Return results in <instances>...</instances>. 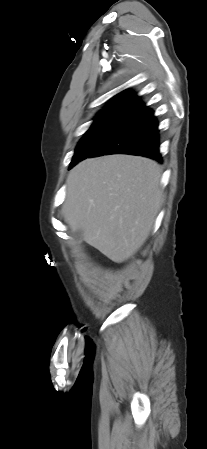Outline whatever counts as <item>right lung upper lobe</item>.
I'll use <instances>...</instances> for the list:
<instances>
[{
    "instance_id": "cb5924a9",
    "label": "right lung upper lobe",
    "mask_w": 207,
    "mask_h": 449,
    "mask_svg": "<svg viewBox=\"0 0 207 449\" xmlns=\"http://www.w3.org/2000/svg\"><path fill=\"white\" fill-rule=\"evenodd\" d=\"M123 93L118 94L117 98L105 106L99 114L108 112H129L138 114L146 109V106L138 99V97H136L135 94L125 93V91Z\"/></svg>"
}]
</instances>
